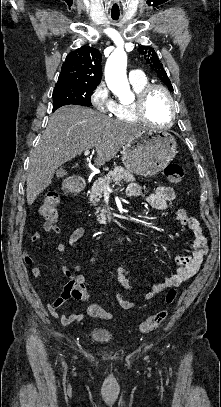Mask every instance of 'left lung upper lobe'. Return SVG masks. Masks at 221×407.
Returning <instances> with one entry per match:
<instances>
[{
  "label": "left lung upper lobe",
  "instance_id": "5c2ea615",
  "mask_svg": "<svg viewBox=\"0 0 221 407\" xmlns=\"http://www.w3.org/2000/svg\"><path fill=\"white\" fill-rule=\"evenodd\" d=\"M138 51L144 55L146 62L150 65L151 69L157 73L158 77L168 86L170 90H173L171 82L163 68V64L160 62L154 49L149 46H140Z\"/></svg>",
  "mask_w": 221,
  "mask_h": 407
}]
</instances>
